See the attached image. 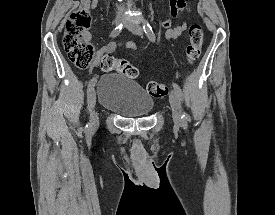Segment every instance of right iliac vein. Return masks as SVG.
<instances>
[{"mask_svg":"<svg viewBox=\"0 0 275 215\" xmlns=\"http://www.w3.org/2000/svg\"><path fill=\"white\" fill-rule=\"evenodd\" d=\"M121 21H122L121 17H116L114 20L116 25L119 24ZM95 105H96V92H95V89L92 88L88 96V109L90 113V125L93 127H96L99 122L98 115L95 111Z\"/></svg>","mask_w":275,"mask_h":215,"instance_id":"63e3f726","label":"right iliac vein"}]
</instances>
